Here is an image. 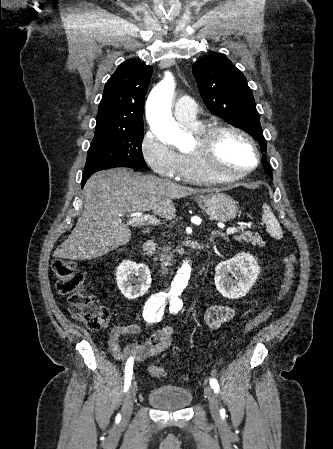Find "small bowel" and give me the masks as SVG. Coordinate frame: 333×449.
Wrapping results in <instances>:
<instances>
[{
  "label": "small bowel",
  "mask_w": 333,
  "mask_h": 449,
  "mask_svg": "<svg viewBox=\"0 0 333 449\" xmlns=\"http://www.w3.org/2000/svg\"><path fill=\"white\" fill-rule=\"evenodd\" d=\"M235 308L228 305H214L207 309L204 323L208 328H216L228 322L235 315ZM140 332L137 323L116 325L111 328L108 335V348L112 356L118 361L144 360L154 357L170 348L172 345V329L163 328L155 331L144 343H122V338L127 335H136Z\"/></svg>",
  "instance_id": "obj_1"
}]
</instances>
